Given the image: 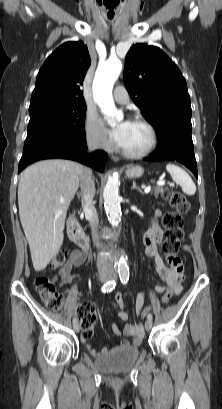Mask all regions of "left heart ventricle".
I'll return each instance as SVG.
<instances>
[{
  "label": "left heart ventricle",
  "mask_w": 222,
  "mask_h": 409,
  "mask_svg": "<svg viewBox=\"0 0 222 409\" xmlns=\"http://www.w3.org/2000/svg\"><path fill=\"white\" fill-rule=\"evenodd\" d=\"M119 124L118 126L122 125ZM150 143V133L148 129L138 123L128 122L121 143L119 146L125 150L132 152H140L144 150Z\"/></svg>",
  "instance_id": "left-heart-ventricle-1"
}]
</instances>
